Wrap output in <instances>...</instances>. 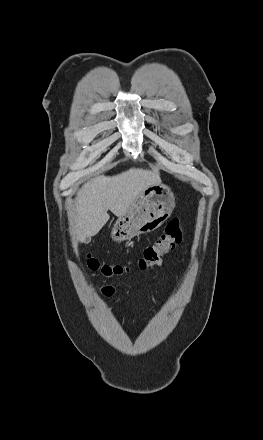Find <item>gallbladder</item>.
<instances>
[{"label": "gallbladder", "instance_id": "bac80fb5", "mask_svg": "<svg viewBox=\"0 0 263 440\" xmlns=\"http://www.w3.org/2000/svg\"><path fill=\"white\" fill-rule=\"evenodd\" d=\"M91 241V238L90 237H86V238H84V243H89Z\"/></svg>", "mask_w": 263, "mask_h": 440}]
</instances>
